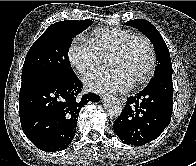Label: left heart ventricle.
I'll use <instances>...</instances> for the list:
<instances>
[{
    "label": "left heart ventricle",
    "instance_id": "1",
    "mask_svg": "<svg viewBox=\"0 0 196 166\" xmlns=\"http://www.w3.org/2000/svg\"><path fill=\"white\" fill-rule=\"evenodd\" d=\"M150 63V52L142 40H136L127 54L111 57L109 65L121 69L133 82L138 80L147 70Z\"/></svg>",
    "mask_w": 196,
    "mask_h": 166
}]
</instances>
